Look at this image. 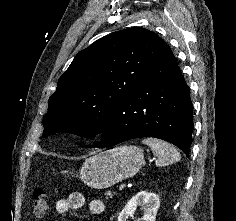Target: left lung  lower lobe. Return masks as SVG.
I'll use <instances>...</instances> for the list:
<instances>
[{"mask_svg": "<svg viewBox=\"0 0 236 221\" xmlns=\"http://www.w3.org/2000/svg\"><path fill=\"white\" fill-rule=\"evenodd\" d=\"M190 91L168 45L113 114L98 147L139 137L168 141L186 155L192 143Z\"/></svg>", "mask_w": 236, "mask_h": 221, "instance_id": "1", "label": "left lung lower lobe"}]
</instances>
